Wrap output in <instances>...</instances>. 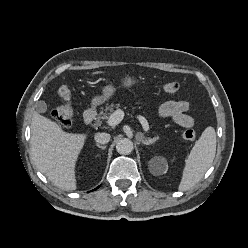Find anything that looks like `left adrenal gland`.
<instances>
[{
	"instance_id": "obj_1",
	"label": "left adrenal gland",
	"mask_w": 248,
	"mask_h": 248,
	"mask_svg": "<svg viewBox=\"0 0 248 248\" xmlns=\"http://www.w3.org/2000/svg\"><path fill=\"white\" fill-rule=\"evenodd\" d=\"M158 140V138H148V139H142L141 142L145 145H150L155 143Z\"/></svg>"
}]
</instances>
